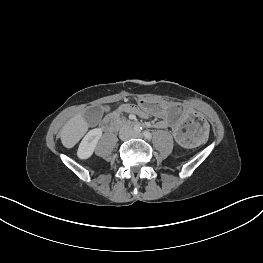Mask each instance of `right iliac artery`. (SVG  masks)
Here are the masks:
<instances>
[{
  "label": "right iliac artery",
  "mask_w": 263,
  "mask_h": 263,
  "mask_svg": "<svg viewBox=\"0 0 263 263\" xmlns=\"http://www.w3.org/2000/svg\"><path fill=\"white\" fill-rule=\"evenodd\" d=\"M135 130L141 132L142 127H140V126H136V127H135Z\"/></svg>",
  "instance_id": "1"
}]
</instances>
